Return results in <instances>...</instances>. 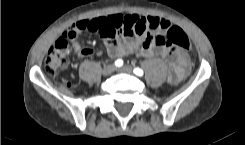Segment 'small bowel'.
I'll list each match as a JSON object with an SVG mask.
<instances>
[{"mask_svg": "<svg viewBox=\"0 0 245 145\" xmlns=\"http://www.w3.org/2000/svg\"><path fill=\"white\" fill-rule=\"evenodd\" d=\"M170 26L168 20L157 16L113 14L82 20L74 24L71 29L78 33L82 31L81 28H85L102 35L108 53L114 58H123L132 53H135L138 57L162 56L171 67L168 82L175 85L186 77L190 69L191 57L185 50L155 44L154 36L163 35V32L168 30ZM77 33L71 39L73 55L81 57L94 55L95 51L93 49L82 47L79 44ZM118 34H121L119 40H117ZM96 54L100 55L101 52L97 51Z\"/></svg>", "mask_w": 245, "mask_h": 145, "instance_id": "1", "label": "small bowel"}]
</instances>
